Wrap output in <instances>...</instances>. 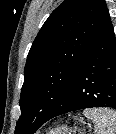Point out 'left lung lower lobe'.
Returning a JSON list of instances; mask_svg holds the SVG:
<instances>
[{"instance_id": "1", "label": "left lung lower lobe", "mask_w": 116, "mask_h": 134, "mask_svg": "<svg viewBox=\"0 0 116 134\" xmlns=\"http://www.w3.org/2000/svg\"><path fill=\"white\" fill-rule=\"evenodd\" d=\"M57 106L49 120L68 112L92 107L116 109V38L110 17L73 80L71 97Z\"/></svg>"}]
</instances>
